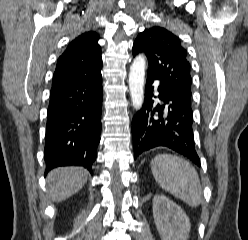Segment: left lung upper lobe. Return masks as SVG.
<instances>
[{
  "label": "left lung upper lobe",
  "instance_id": "left-lung-upper-lobe-1",
  "mask_svg": "<svg viewBox=\"0 0 248 240\" xmlns=\"http://www.w3.org/2000/svg\"><path fill=\"white\" fill-rule=\"evenodd\" d=\"M145 53L147 74L161 81L179 97L191 100V65L180 39L162 27H151L141 32L133 44V56Z\"/></svg>",
  "mask_w": 248,
  "mask_h": 240
}]
</instances>
